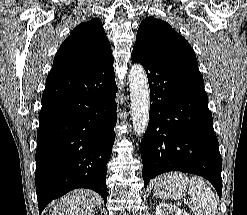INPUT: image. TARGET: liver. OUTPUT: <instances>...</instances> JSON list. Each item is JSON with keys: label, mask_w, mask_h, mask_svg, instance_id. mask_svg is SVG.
Masks as SVG:
<instances>
[{"label": "liver", "mask_w": 247, "mask_h": 215, "mask_svg": "<svg viewBox=\"0 0 247 215\" xmlns=\"http://www.w3.org/2000/svg\"><path fill=\"white\" fill-rule=\"evenodd\" d=\"M97 198L88 190H77L64 196L53 207L52 215H92Z\"/></svg>", "instance_id": "liver-1"}]
</instances>
